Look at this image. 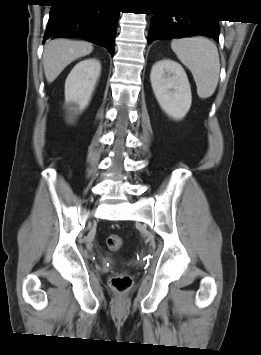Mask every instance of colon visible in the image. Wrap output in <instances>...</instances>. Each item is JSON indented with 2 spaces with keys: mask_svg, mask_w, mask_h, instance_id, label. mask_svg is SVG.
I'll return each mask as SVG.
<instances>
[{
  "mask_svg": "<svg viewBox=\"0 0 261 355\" xmlns=\"http://www.w3.org/2000/svg\"><path fill=\"white\" fill-rule=\"evenodd\" d=\"M107 246L112 251L122 247V238L117 234H111L106 239ZM110 286L117 292H125L132 286V278L128 274H116L110 279Z\"/></svg>",
  "mask_w": 261,
  "mask_h": 355,
  "instance_id": "obj_1",
  "label": "colon"
}]
</instances>
